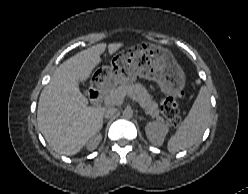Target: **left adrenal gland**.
<instances>
[{
    "label": "left adrenal gland",
    "mask_w": 248,
    "mask_h": 194,
    "mask_svg": "<svg viewBox=\"0 0 248 194\" xmlns=\"http://www.w3.org/2000/svg\"><path fill=\"white\" fill-rule=\"evenodd\" d=\"M139 119H140V120H145V118H144V117H139Z\"/></svg>",
    "instance_id": "a2214340"
}]
</instances>
